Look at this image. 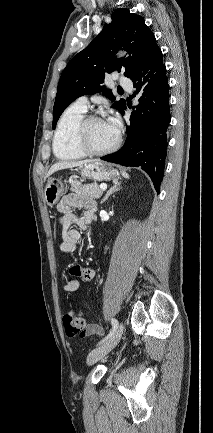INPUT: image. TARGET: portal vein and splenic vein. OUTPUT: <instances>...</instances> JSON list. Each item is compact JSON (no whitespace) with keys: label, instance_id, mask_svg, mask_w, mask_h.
I'll return each mask as SVG.
<instances>
[{"label":"portal vein and splenic vein","instance_id":"1","mask_svg":"<svg viewBox=\"0 0 213 433\" xmlns=\"http://www.w3.org/2000/svg\"><path fill=\"white\" fill-rule=\"evenodd\" d=\"M100 189L101 190H106L107 189V185L106 184H101L100 185Z\"/></svg>","mask_w":213,"mask_h":433}]
</instances>
